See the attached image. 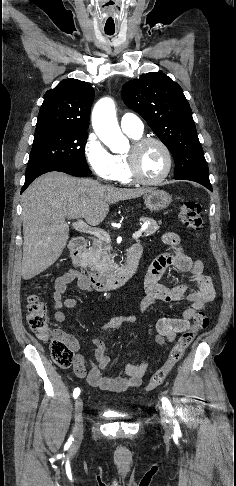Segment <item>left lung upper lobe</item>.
Masks as SVG:
<instances>
[{
	"label": "left lung upper lobe",
	"instance_id": "obj_1",
	"mask_svg": "<svg viewBox=\"0 0 236 486\" xmlns=\"http://www.w3.org/2000/svg\"><path fill=\"white\" fill-rule=\"evenodd\" d=\"M124 103L138 112L175 160V179L210 184L192 110L181 87L160 72L144 74L122 89Z\"/></svg>",
	"mask_w": 236,
	"mask_h": 486
}]
</instances>
